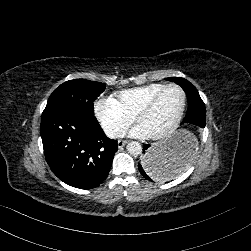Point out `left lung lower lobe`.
<instances>
[{
  "instance_id": "0a47b994",
  "label": "left lung lower lobe",
  "mask_w": 251,
  "mask_h": 251,
  "mask_svg": "<svg viewBox=\"0 0 251 251\" xmlns=\"http://www.w3.org/2000/svg\"><path fill=\"white\" fill-rule=\"evenodd\" d=\"M187 115L181 136L162 150L143 148L144 156L138 163L142 176L151 182H164L176 178L192 165L197 157L201 131L205 127L206 110L203 102L188 99Z\"/></svg>"
}]
</instances>
